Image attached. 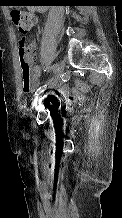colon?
I'll return each instance as SVG.
<instances>
[{
    "instance_id": "colon-1",
    "label": "colon",
    "mask_w": 122,
    "mask_h": 218,
    "mask_svg": "<svg viewBox=\"0 0 122 218\" xmlns=\"http://www.w3.org/2000/svg\"><path fill=\"white\" fill-rule=\"evenodd\" d=\"M11 19L15 26L23 33L28 32L35 22L32 14L20 10H12ZM19 62L22 88L25 92H29L33 85L31 75V49L27 47L25 40L20 42Z\"/></svg>"
}]
</instances>
